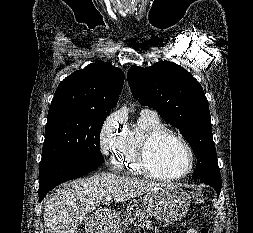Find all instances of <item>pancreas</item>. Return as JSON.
<instances>
[{"mask_svg": "<svg viewBox=\"0 0 253 233\" xmlns=\"http://www.w3.org/2000/svg\"><path fill=\"white\" fill-rule=\"evenodd\" d=\"M136 220L142 227H145L146 229L151 228V220L149 215L146 214L137 204H133L127 207L126 211L124 212L122 220L123 230H126L129 225Z\"/></svg>", "mask_w": 253, "mask_h": 233, "instance_id": "1", "label": "pancreas"}]
</instances>
